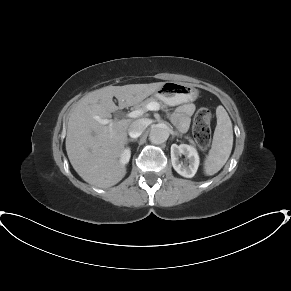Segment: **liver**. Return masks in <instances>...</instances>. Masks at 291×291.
Masks as SVG:
<instances>
[{"mask_svg": "<svg viewBox=\"0 0 291 291\" xmlns=\"http://www.w3.org/2000/svg\"><path fill=\"white\" fill-rule=\"evenodd\" d=\"M163 84L110 85L89 93L77 102L69 115L66 151L71 165L84 181L99 188H108L120 182L126 174L119 157L128 140L131 120L112 121L110 127L99 123L95 117L109 119L111 113L139 104ZM113 97L118 99L119 107L113 102Z\"/></svg>", "mask_w": 291, "mask_h": 291, "instance_id": "1", "label": "liver"}]
</instances>
